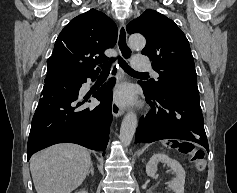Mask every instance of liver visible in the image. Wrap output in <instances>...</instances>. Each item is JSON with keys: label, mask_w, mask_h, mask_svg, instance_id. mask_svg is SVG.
<instances>
[{"label": "liver", "mask_w": 237, "mask_h": 193, "mask_svg": "<svg viewBox=\"0 0 237 193\" xmlns=\"http://www.w3.org/2000/svg\"><path fill=\"white\" fill-rule=\"evenodd\" d=\"M91 166L87 149L76 144H56L34 154L30 171L37 193H71Z\"/></svg>", "instance_id": "liver-1"}]
</instances>
